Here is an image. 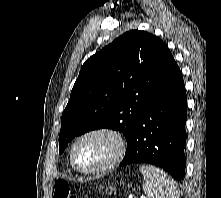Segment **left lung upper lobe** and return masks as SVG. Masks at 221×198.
Here are the masks:
<instances>
[{
  "instance_id": "left-lung-upper-lobe-1",
  "label": "left lung upper lobe",
  "mask_w": 221,
  "mask_h": 198,
  "mask_svg": "<svg viewBox=\"0 0 221 198\" xmlns=\"http://www.w3.org/2000/svg\"><path fill=\"white\" fill-rule=\"evenodd\" d=\"M173 61L158 37L139 30L124 33L91 56L62 114L59 153L73 138L100 128L122 132L128 141Z\"/></svg>"
}]
</instances>
